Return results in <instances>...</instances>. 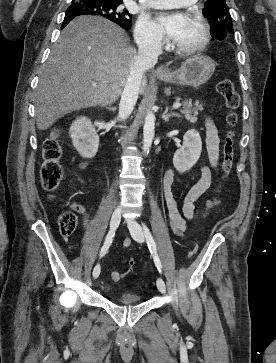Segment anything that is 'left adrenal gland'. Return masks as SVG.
Masks as SVG:
<instances>
[{
  "label": "left adrenal gland",
  "mask_w": 276,
  "mask_h": 363,
  "mask_svg": "<svg viewBox=\"0 0 276 363\" xmlns=\"http://www.w3.org/2000/svg\"><path fill=\"white\" fill-rule=\"evenodd\" d=\"M171 117H179V114L176 112L168 113V107H166L165 111L162 114V118L165 122H168L169 118H171Z\"/></svg>",
  "instance_id": "obj_1"
}]
</instances>
